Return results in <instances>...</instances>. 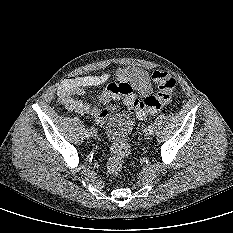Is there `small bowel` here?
<instances>
[{
  "label": "small bowel",
  "mask_w": 233,
  "mask_h": 233,
  "mask_svg": "<svg viewBox=\"0 0 233 233\" xmlns=\"http://www.w3.org/2000/svg\"><path fill=\"white\" fill-rule=\"evenodd\" d=\"M109 78V73L68 78L58 88L59 100L69 111L83 115L92 112L94 108L88 102L75 97L83 95L88 89L103 86L98 99L100 105L122 98L121 85L129 86L141 97H147L153 90L151 76L141 68L121 67L115 72V81L108 82Z\"/></svg>",
  "instance_id": "obj_1"
}]
</instances>
